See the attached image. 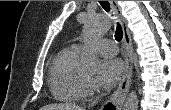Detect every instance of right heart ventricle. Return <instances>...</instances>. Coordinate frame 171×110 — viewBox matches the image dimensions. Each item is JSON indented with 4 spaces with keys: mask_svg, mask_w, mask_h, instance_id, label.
Instances as JSON below:
<instances>
[{
    "mask_svg": "<svg viewBox=\"0 0 171 110\" xmlns=\"http://www.w3.org/2000/svg\"><path fill=\"white\" fill-rule=\"evenodd\" d=\"M78 47L62 49L54 58L49 73V86L53 96L63 102L77 103L85 99L79 86L75 67L79 58Z\"/></svg>",
    "mask_w": 171,
    "mask_h": 110,
    "instance_id": "right-heart-ventricle-1",
    "label": "right heart ventricle"
}]
</instances>
